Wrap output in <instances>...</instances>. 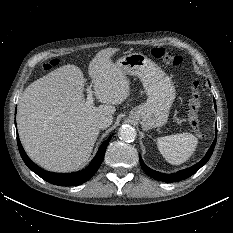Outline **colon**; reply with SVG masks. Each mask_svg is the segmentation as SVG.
<instances>
[{
	"label": "colon",
	"instance_id": "obj_1",
	"mask_svg": "<svg viewBox=\"0 0 233 233\" xmlns=\"http://www.w3.org/2000/svg\"><path fill=\"white\" fill-rule=\"evenodd\" d=\"M151 54L154 58L162 60L164 63L171 66H181L184 63V58L181 55H176L168 51L163 47H155L151 50ZM59 64L58 60L53 59L44 63L43 68L45 70H51L53 67ZM187 74L191 75V71L187 70ZM201 107V97L199 82L192 80L191 82V94L188 103V120L191 128L197 134H201V124L199 120V110Z\"/></svg>",
	"mask_w": 233,
	"mask_h": 233
}]
</instances>
